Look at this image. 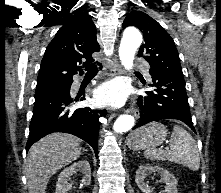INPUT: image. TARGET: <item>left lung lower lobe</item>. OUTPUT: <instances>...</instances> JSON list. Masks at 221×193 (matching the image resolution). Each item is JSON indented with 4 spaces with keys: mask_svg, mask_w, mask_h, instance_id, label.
Here are the masks:
<instances>
[{
    "mask_svg": "<svg viewBox=\"0 0 221 193\" xmlns=\"http://www.w3.org/2000/svg\"><path fill=\"white\" fill-rule=\"evenodd\" d=\"M150 75L154 90L138 98L140 118L133 129L156 120L177 119L195 132L183 76L157 71H150Z\"/></svg>",
    "mask_w": 221,
    "mask_h": 193,
    "instance_id": "obj_1",
    "label": "left lung lower lobe"
}]
</instances>
